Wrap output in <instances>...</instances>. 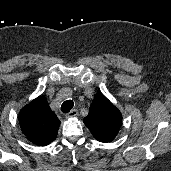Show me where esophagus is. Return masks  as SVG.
I'll use <instances>...</instances> for the list:
<instances>
[{
	"mask_svg": "<svg viewBox=\"0 0 171 171\" xmlns=\"http://www.w3.org/2000/svg\"><path fill=\"white\" fill-rule=\"evenodd\" d=\"M78 111L76 109L71 110L69 113L65 115L66 118L77 117Z\"/></svg>",
	"mask_w": 171,
	"mask_h": 171,
	"instance_id": "1",
	"label": "esophagus"
}]
</instances>
